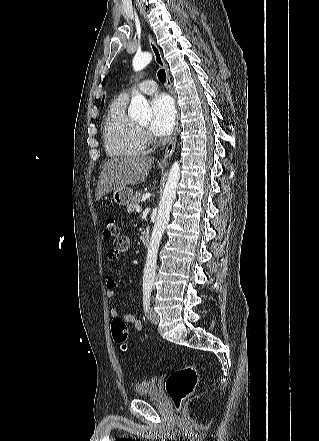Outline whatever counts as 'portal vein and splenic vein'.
Returning a JSON list of instances; mask_svg holds the SVG:
<instances>
[{
  "instance_id": "1",
  "label": "portal vein and splenic vein",
  "mask_w": 319,
  "mask_h": 441,
  "mask_svg": "<svg viewBox=\"0 0 319 441\" xmlns=\"http://www.w3.org/2000/svg\"><path fill=\"white\" fill-rule=\"evenodd\" d=\"M141 211H142V208L140 206H137L136 207V212H141Z\"/></svg>"
}]
</instances>
